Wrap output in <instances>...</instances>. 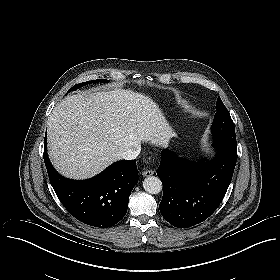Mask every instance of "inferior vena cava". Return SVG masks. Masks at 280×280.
I'll list each match as a JSON object with an SVG mask.
<instances>
[{"label": "inferior vena cava", "instance_id": "1", "mask_svg": "<svg viewBox=\"0 0 280 280\" xmlns=\"http://www.w3.org/2000/svg\"><path fill=\"white\" fill-rule=\"evenodd\" d=\"M141 145L137 144L131 148H128L127 150L120 153V158L125 160H132L136 159L140 153Z\"/></svg>", "mask_w": 280, "mask_h": 280}]
</instances>
